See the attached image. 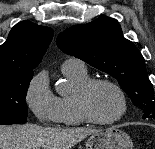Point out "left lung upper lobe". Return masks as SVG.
I'll list each match as a JSON object with an SVG mask.
<instances>
[{"label": "left lung upper lobe", "mask_w": 155, "mask_h": 149, "mask_svg": "<svg viewBox=\"0 0 155 149\" xmlns=\"http://www.w3.org/2000/svg\"><path fill=\"white\" fill-rule=\"evenodd\" d=\"M58 47L65 53L111 75L119 81L143 119H155V97L145 60L137 47L125 39L117 20L102 16L60 33Z\"/></svg>", "instance_id": "1"}]
</instances>
